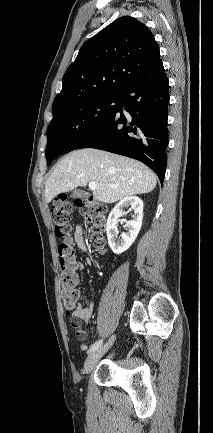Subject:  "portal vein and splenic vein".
<instances>
[{
  "mask_svg": "<svg viewBox=\"0 0 213 433\" xmlns=\"http://www.w3.org/2000/svg\"><path fill=\"white\" fill-rule=\"evenodd\" d=\"M98 185H101V184H98V183H96V182H89V188H90L91 190H95V189L97 188Z\"/></svg>",
  "mask_w": 213,
  "mask_h": 433,
  "instance_id": "18ae733b",
  "label": "portal vein and splenic vein"
}]
</instances>
